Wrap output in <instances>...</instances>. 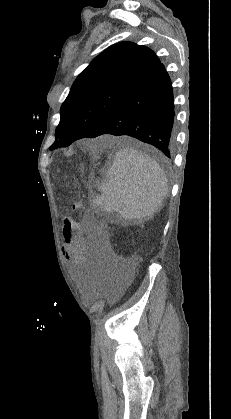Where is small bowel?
Instances as JSON below:
<instances>
[{
    "mask_svg": "<svg viewBox=\"0 0 231 419\" xmlns=\"http://www.w3.org/2000/svg\"><path fill=\"white\" fill-rule=\"evenodd\" d=\"M64 244L62 252L73 269L85 264L90 256V246L83 237V228L80 223L65 217L63 219Z\"/></svg>",
    "mask_w": 231,
    "mask_h": 419,
    "instance_id": "1",
    "label": "small bowel"
}]
</instances>
